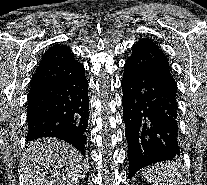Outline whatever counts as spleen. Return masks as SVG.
Masks as SVG:
<instances>
[{
    "label": "spleen",
    "mask_w": 207,
    "mask_h": 185,
    "mask_svg": "<svg viewBox=\"0 0 207 185\" xmlns=\"http://www.w3.org/2000/svg\"><path fill=\"white\" fill-rule=\"evenodd\" d=\"M181 167L170 166V163H154L153 166L143 167V172H139V177L151 179L155 185H168V183L177 182L183 179L180 174Z\"/></svg>",
    "instance_id": "spleen-1"
}]
</instances>
